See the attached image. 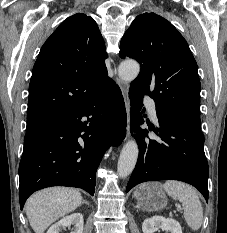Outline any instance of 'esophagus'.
I'll return each mask as SVG.
<instances>
[{
	"mask_svg": "<svg viewBox=\"0 0 227 233\" xmlns=\"http://www.w3.org/2000/svg\"><path fill=\"white\" fill-rule=\"evenodd\" d=\"M117 83L122 91L124 101H125V107H126V112H127V126H126V138H129L130 136V117H129V112H130V100L128 96L129 92V86L126 82H123L122 80L117 78Z\"/></svg>",
	"mask_w": 227,
	"mask_h": 233,
	"instance_id": "1",
	"label": "esophagus"
}]
</instances>
